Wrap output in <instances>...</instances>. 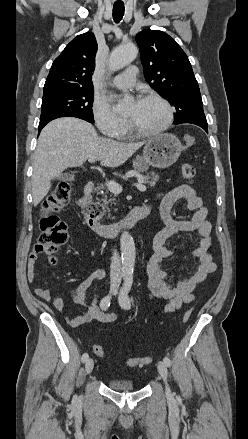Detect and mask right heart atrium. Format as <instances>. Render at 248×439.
<instances>
[{
  "label": "right heart atrium",
  "instance_id": "right-heart-atrium-1",
  "mask_svg": "<svg viewBox=\"0 0 248 439\" xmlns=\"http://www.w3.org/2000/svg\"><path fill=\"white\" fill-rule=\"evenodd\" d=\"M92 116L99 131L106 137H118L128 126L127 120L118 116L103 98H95Z\"/></svg>",
  "mask_w": 248,
  "mask_h": 439
}]
</instances>
